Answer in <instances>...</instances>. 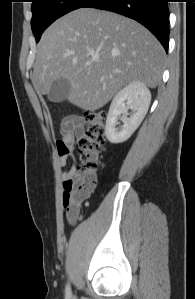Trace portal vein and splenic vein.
<instances>
[{
    "instance_id": "18ae733b",
    "label": "portal vein and splenic vein",
    "mask_w": 195,
    "mask_h": 299,
    "mask_svg": "<svg viewBox=\"0 0 195 299\" xmlns=\"http://www.w3.org/2000/svg\"><path fill=\"white\" fill-rule=\"evenodd\" d=\"M97 60H98L97 56L93 57V61H97Z\"/></svg>"
}]
</instances>
